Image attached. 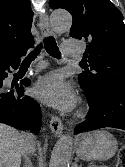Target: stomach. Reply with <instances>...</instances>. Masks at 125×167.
Here are the masks:
<instances>
[{"label":"stomach","mask_w":125,"mask_h":167,"mask_svg":"<svg viewBox=\"0 0 125 167\" xmlns=\"http://www.w3.org/2000/svg\"><path fill=\"white\" fill-rule=\"evenodd\" d=\"M118 148L116 138L107 131L97 130L82 134L75 140V150L82 160L105 161L114 156Z\"/></svg>","instance_id":"stomach-1"}]
</instances>
